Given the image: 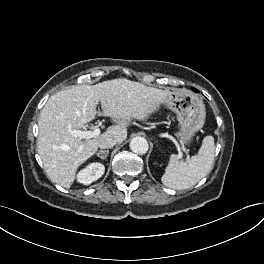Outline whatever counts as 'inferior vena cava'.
Wrapping results in <instances>:
<instances>
[{"label": "inferior vena cava", "mask_w": 264, "mask_h": 264, "mask_svg": "<svg viewBox=\"0 0 264 264\" xmlns=\"http://www.w3.org/2000/svg\"><path fill=\"white\" fill-rule=\"evenodd\" d=\"M116 144H117V140L116 139H114V138H106V139H103L100 142L99 147L101 149H109V148L114 147Z\"/></svg>", "instance_id": "602c4592"}]
</instances>
